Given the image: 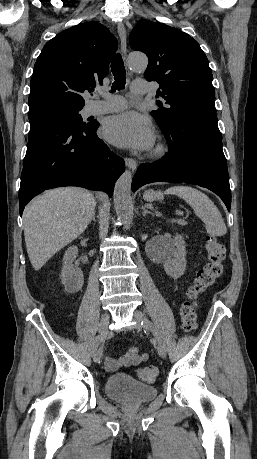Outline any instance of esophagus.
Masks as SVG:
<instances>
[{"label":"esophagus","mask_w":257,"mask_h":459,"mask_svg":"<svg viewBox=\"0 0 257 459\" xmlns=\"http://www.w3.org/2000/svg\"><path fill=\"white\" fill-rule=\"evenodd\" d=\"M117 31L120 39L121 51L123 56H126L127 53V40H126V30L122 22L117 24ZM126 166L132 171L136 170L137 162L133 158H125Z\"/></svg>","instance_id":"obj_1"}]
</instances>
